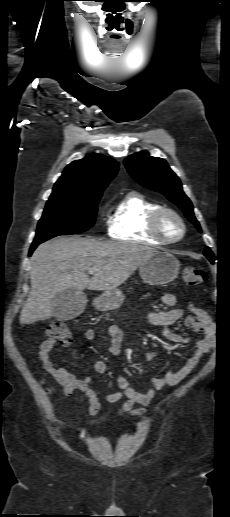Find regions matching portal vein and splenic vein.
Listing matches in <instances>:
<instances>
[{
  "label": "portal vein and splenic vein",
  "instance_id": "1",
  "mask_svg": "<svg viewBox=\"0 0 230 517\" xmlns=\"http://www.w3.org/2000/svg\"><path fill=\"white\" fill-rule=\"evenodd\" d=\"M96 271H97V269H96V268H94V267H93V268L88 269V273H89V274H94Z\"/></svg>",
  "mask_w": 230,
  "mask_h": 517
}]
</instances>
